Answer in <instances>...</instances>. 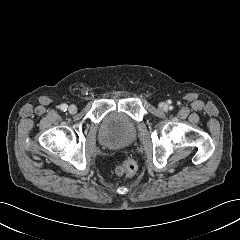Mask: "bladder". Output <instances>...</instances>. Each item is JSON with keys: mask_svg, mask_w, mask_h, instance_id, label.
Segmentation results:
<instances>
[{"mask_svg": "<svg viewBox=\"0 0 240 240\" xmlns=\"http://www.w3.org/2000/svg\"><path fill=\"white\" fill-rule=\"evenodd\" d=\"M101 144L108 149H122L136 139V126L132 119L122 112L105 115L99 125Z\"/></svg>", "mask_w": 240, "mask_h": 240, "instance_id": "bladder-1", "label": "bladder"}]
</instances>
